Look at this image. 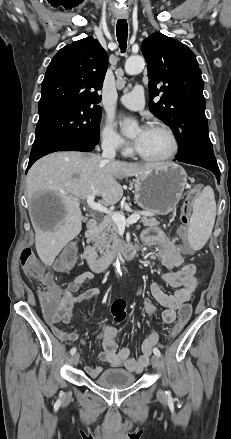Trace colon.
Instances as JSON below:
<instances>
[{"label":"colon","instance_id":"obj_1","mask_svg":"<svg viewBox=\"0 0 231 439\" xmlns=\"http://www.w3.org/2000/svg\"><path fill=\"white\" fill-rule=\"evenodd\" d=\"M192 209V201L191 199H186L184 202L181 214H180V223L184 228L188 222ZM78 242L72 241L71 244L67 245L55 263V269L59 272H66L70 270L76 263L78 258ZM187 259H195L196 251L195 250H187L186 251ZM21 263L23 269L32 277L39 279L41 283L46 286L45 291L41 290L38 293L39 299L38 304L41 309H44L43 318L44 320H54L55 319V311L59 305L61 300V289L53 282L52 278L49 276H43V269L35 254L32 252L31 246H26L25 250L21 254ZM190 300H195V295H190ZM192 303H181L177 308V319L178 322L175 324L171 331V336H175L179 330L182 328L184 323H188L193 316ZM126 303L124 300H116L113 302L111 306V313L114 317V320L117 322L123 321L126 317Z\"/></svg>","mask_w":231,"mask_h":439}]
</instances>
